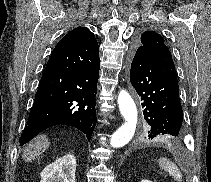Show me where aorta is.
Returning <instances> with one entry per match:
<instances>
[{
    "instance_id": "aorta-1",
    "label": "aorta",
    "mask_w": 211,
    "mask_h": 182,
    "mask_svg": "<svg viewBox=\"0 0 211 182\" xmlns=\"http://www.w3.org/2000/svg\"><path fill=\"white\" fill-rule=\"evenodd\" d=\"M119 110L125 119L118 130H116L110 140V145L114 148L125 146L133 137L137 125V108L129 93L121 90L118 94Z\"/></svg>"
}]
</instances>
